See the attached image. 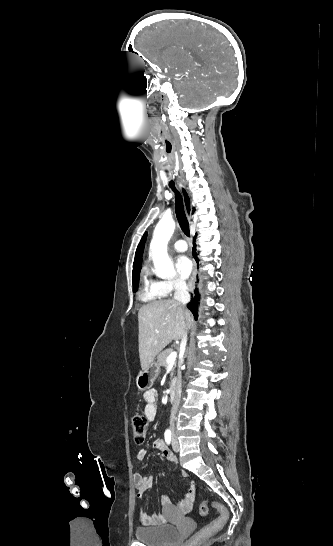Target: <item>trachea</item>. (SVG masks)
<instances>
[{
	"label": "trachea",
	"instance_id": "1",
	"mask_svg": "<svg viewBox=\"0 0 333 546\" xmlns=\"http://www.w3.org/2000/svg\"><path fill=\"white\" fill-rule=\"evenodd\" d=\"M169 186L175 192V210H176V216H177L179 225L182 231L184 232V234L187 236H190L189 223L185 215L182 197L180 193L174 187V183L172 181L169 183Z\"/></svg>",
	"mask_w": 333,
	"mask_h": 546
}]
</instances>
